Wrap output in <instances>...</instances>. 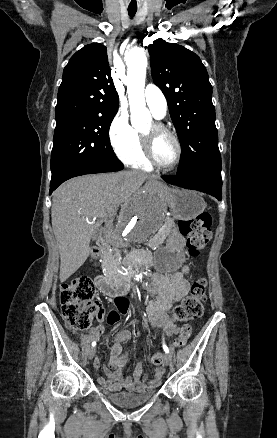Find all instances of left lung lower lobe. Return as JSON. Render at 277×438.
<instances>
[{
	"label": "left lung lower lobe",
	"instance_id": "left-lung-lower-lobe-1",
	"mask_svg": "<svg viewBox=\"0 0 277 438\" xmlns=\"http://www.w3.org/2000/svg\"><path fill=\"white\" fill-rule=\"evenodd\" d=\"M162 178L171 184L210 194L218 200L222 199L221 170H209L192 176L169 175Z\"/></svg>",
	"mask_w": 277,
	"mask_h": 438
}]
</instances>
